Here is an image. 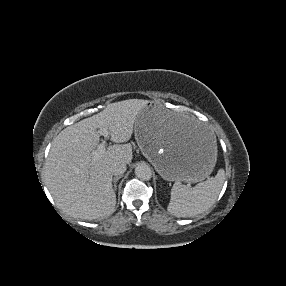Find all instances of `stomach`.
Returning a JSON list of instances; mask_svg holds the SVG:
<instances>
[{"mask_svg":"<svg viewBox=\"0 0 286 286\" xmlns=\"http://www.w3.org/2000/svg\"><path fill=\"white\" fill-rule=\"evenodd\" d=\"M142 154L168 181L199 182L213 171L217 136L213 127L164 103L144 106L135 121Z\"/></svg>","mask_w":286,"mask_h":286,"instance_id":"stomach-1","label":"stomach"}]
</instances>
